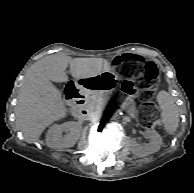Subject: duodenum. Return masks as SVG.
<instances>
[{
  "label": "duodenum",
  "mask_w": 194,
  "mask_h": 193,
  "mask_svg": "<svg viewBox=\"0 0 194 193\" xmlns=\"http://www.w3.org/2000/svg\"><path fill=\"white\" fill-rule=\"evenodd\" d=\"M66 96L70 99L71 112L75 116L86 114L88 96L82 94L73 83H69L66 90Z\"/></svg>",
  "instance_id": "duodenum-1"
}]
</instances>
